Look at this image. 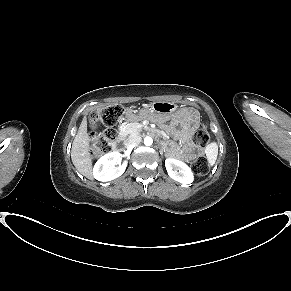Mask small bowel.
Returning <instances> with one entry per match:
<instances>
[{"instance_id":"obj_1","label":"small bowel","mask_w":291,"mask_h":291,"mask_svg":"<svg viewBox=\"0 0 291 291\" xmlns=\"http://www.w3.org/2000/svg\"><path fill=\"white\" fill-rule=\"evenodd\" d=\"M126 118H133V113L129 109L126 111ZM155 118L164 121L167 117L155 116ZM172 118L166 128L178 140V143L169 144L168 154L182 161L192 160L198 154L192 144L191 137L198 125L200 110L197 107L175 108L172 111Z\"/></svg>"}]
</instances>
